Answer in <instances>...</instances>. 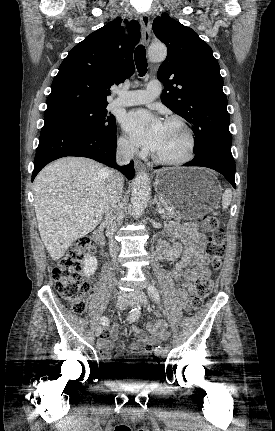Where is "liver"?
Returning a JSON list of instances; mask_svg holds the SVG:
<instances>
[{
    "mask_svg": "<svg viewBox=\"0 0 275 431\" xmlns=\"http://www.w3.org/2000/svg\"><path fill=\"white\" fill-rule=\"evenodd\" d=\"M108 169L84 157H65L46 166L34 181L41 239L53 260L100 223L106 204Z\"/></svg>",
    "mask_w": 275,
    "mask_h": 431,
    "instance_id": "obj_1",
    "label": "liver"
}]
</instances>
